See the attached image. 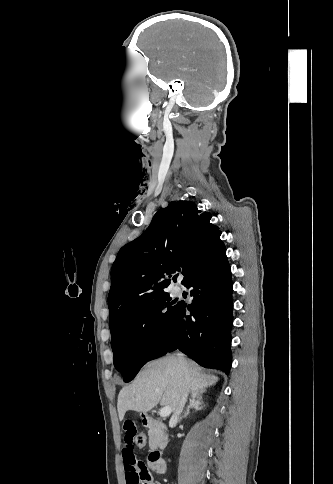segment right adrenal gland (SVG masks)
Returning a JSON list of instances; mask_svg holds the SVG:
<instances>
[{
  "mask_svg": "<svg viewBox=\"0 0 333 484\" xmlns=\"http://www.w3.org/2000/svg\"><path fill=\"white\" fill-rule=\"evenodd\" d=\"M203 393H204V391H198V392L192 393L189 405L187 407V410L184 413V415L180 418V420L183 419V418H186L189 415L191 409H194V410H202L203 409V407H204V405H203L204 402L202 400Z\"/></svg>",
  "mask_w": 333,
  "mask_h": 484,
  "instance_id": "right-adrenal-gland-1",
  "label": "right adrenal gland"
}]
</instances>
